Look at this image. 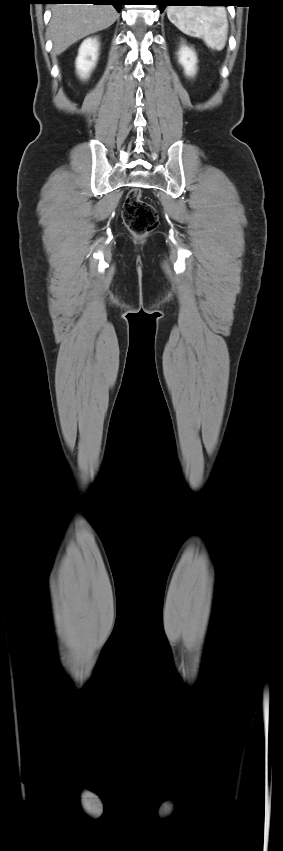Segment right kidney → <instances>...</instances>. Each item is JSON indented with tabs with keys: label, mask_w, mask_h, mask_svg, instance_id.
<instances>
[{
	"label": "right kidney",
	"mask_w": 283,
	"mask_h": 851,
	"mask_svg": "<svg viewBox=\"0 0 283 851\" xmlns=\"http://www.w3.org/2000/svg\"><path fill=\"white\" fill-rule=\"evenodd\" d=\"M98 50L99 43L96 38H88L81 44L76 59V68L78 74L83 79H86L95 67L98 58Z\"/></svg>",
	"instance_id": "1"
}]
</instances>
